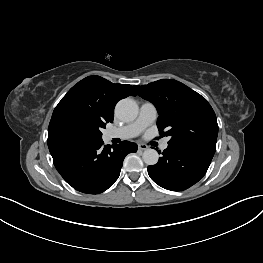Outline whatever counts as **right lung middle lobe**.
<instances>
[{"label": "right lung middle lobe", "mask_w": 263, "mask_h": 263, "mask_svg": "<svg viewBox=\"0 0 263 263\" xmlns=\"http://www.w3.org/2000/svg\"><path fill=\"white\" fill-rule=\"evenodd\" d=\"M105 126L106 123L98 117L80 115L68 119L65 130L71 137L84 144L101 140L100 129Z\"/></svg>", "instance_id": "1"}]
</instances>
